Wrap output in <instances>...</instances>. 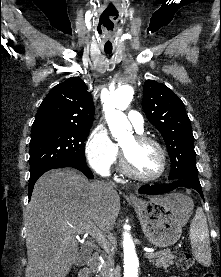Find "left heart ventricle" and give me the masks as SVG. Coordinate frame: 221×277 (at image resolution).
<instances>
[{"label": "left heart ventricle", "instance_id": "1", "mask_svg": "<svg viewBox=\"0 0 221 277\" xmlns=\"http://www.w3.org/2000/svg\"><path fill=\"white\" fill-rule=\"evenodd\" d=\"M121 147L127 153L132 168L140 175L150 177L158 173L161 157L154 145H138L133 138L124 141Z\"/></svg>", "mask_w": 221, "mask_h": 277}]
</instances>
